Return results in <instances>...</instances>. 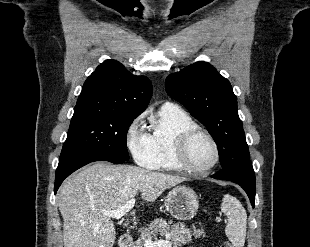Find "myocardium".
Returning <instances> with one entry per match:
<instances>
[{
    "mask_svg": "<svg viewBox=\"0 0 310 247\" xmlns=\"http://www.w3.org/2000/svg\"><path fill=\"white\" fill-rule=\"evenodd\" d=\"M197 136L206 137L211 142L215 152L213 162L203 168H195L189 162V146L192 140ZM176 157L182 170L192 175H203L212 170L218 164L220 160V149L217 141L208 131L200 127H193L186 129L179 134L176 144Z\"/></svg>",
    "mask_w": 310,
    "mask_h": 247,
    "instance_id": "1",
    "label": "myocardium"
}]
</instances>
